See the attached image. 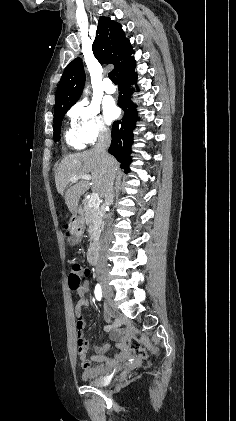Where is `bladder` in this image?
<instances>
[{
	"label": "bladder",
	"mask_w": 236,
	"mask_h": 421,
	"mask_svg": "<svg viewBox=\"0 0 236 421\" xmlns=\"http://www.w3.org/2000/svg\"><path fill=\"white\" fill-rule=\"evenodd\" d=\"M100 381H101V375H99L98 377H87L86 382L89 385H100Z\"/></svg>",
	"instance_id": "31cf9c89"
}]
</instances>
